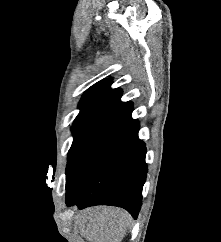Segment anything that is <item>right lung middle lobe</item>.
Instances as JSON below:
<instances>
[{
    "mask_svg": "<svg viewBox=\"0 0 221 242\" xmlns=\"http://www.w3.org/2000/svg\"><path fill=\"white\" fill-rule=\"evenodd\" d=\"M97 125H79L72 128L74 140L68 152L67 167L81 144L98 128Z\"/></svg>",
    "mask_w": 221,
    "mask_h": 242,
    "instance_id": "1",
    "label": "right lung middle lobe"
}]
</instances>
